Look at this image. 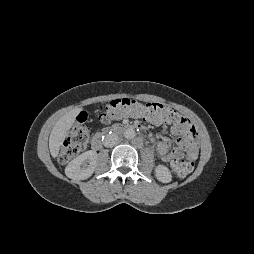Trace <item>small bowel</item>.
Instances as JSON below:
<instances>
[{"mask_svg": "<svg viewBox=\"0 0 254 254\" xmlns=\"http://www.w3.org/2000/svg\"><path fill=\"white\" fill-rule=\"evenodd\" d=\"M160 124H163L164 131H166L167 127L165 123ZM170 130L172 133L180 136L177 140L178 149L170 150L169 139L164 137L157 145V150L162 159L166 162H173L185 156L189 161H195L198 156L195 127L188 120L186 124H173Z\"/></svg>", "mask_w": 254, "mask_h": 254, "instance_id": "obj_1", "label": "small bowel"}]
</instances>
